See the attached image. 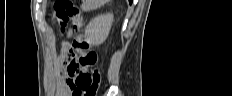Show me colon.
<instances>
[{"label":"colon","mask_w":232,"mask_h":96,"mask_svg":"<svg viewBox=\"0 0 232 96\" xmlns=\"http://www.w3.org/2000/svg\"><path fill=\"white\" fill-rule=\"evenodd\" d=\"M53 18L56 24L65 32L66 26L71 24L76 37L68 47L69 64L67 72L74 75V96H94L100 85L99 71L94 69L98 62L96 51L90 48L81 31L83 19L80 9L70 0H55L53 2Z\"/></svg>","instance_id":"1"}]
</instances>
